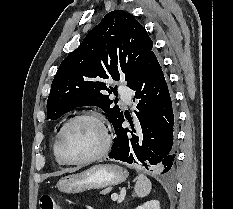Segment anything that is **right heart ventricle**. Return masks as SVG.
<instances>
[{
    "mask_svg": "<svg viewBox=\"0 0 233 209\" xmlns=\"http://www.w3.org/2000/svg\"><path fill=\"white\" fill-rule=\"evenodd\" d=\"M57 134H58V133H57ZM57 134H56V136H55V138H54V140H53L52 151H53V155H54V158H55L56 162H57L58 164H63V163L57 158L56 152H55V145H56Z\"/></svg>",
    "mask_w": 233,
    "mask_h": 209,
    "instance_id": "obj_1",
    "label": "right heart ventricle"
}]
</instances>
